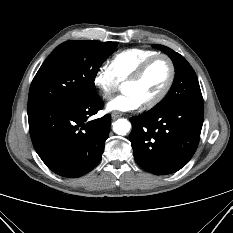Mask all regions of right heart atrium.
<instances>
[{
    "label": "right heart atrium",
    "instance_id": "1",
    "mask_svg": "<svg viewBox=\"0 0 233 233\" xmlns=\"http://www.w3.org/2000/svg\"><path fill=\"white\" fill-rule=\"evenodd\" d=\"M94 85L97 87L101 96L109 99L119 88V82L111 74L107 67L100 68L93 79Z\"/></svg>",
    "mask_w": 233,
    "mask_h": 233
}]
</instances>
